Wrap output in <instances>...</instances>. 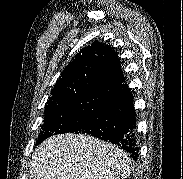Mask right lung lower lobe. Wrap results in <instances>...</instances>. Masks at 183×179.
<instances>
[{"mask_svg":"<svg viewBox=\"0 0 183 179\" xmlns=\"http://www.w3.org/2000/svg\"><path fill=\"white\" fill-rule=\"evenodd\" d=\"M76 133L109 141L127 151L133 159L139 156L136 113L133 95L127 84H119L105 95L98 116Z\"/></svg>","mask_w":183,"mask_h":179,"instance_id":"obj_1","label":"right lung lower lobe"}]
</instances>
